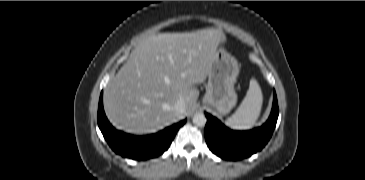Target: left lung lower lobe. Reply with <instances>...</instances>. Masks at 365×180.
<instances>
[{
  "instance_id": "obj_1",
  "label": "left lung lower lobe",
  "mask_w": 365,
  "mask_h": 180,
  "mask_svg": "<svg viewBox=\"0 0 365 180\" xmlns=\"http://www.w3.org/2000/svg\"><path fill=\"white\" fill-rule=\"evenodd\" d=\"M278 102L273 94V107L266 123L249 131H233L219 120L206 113L205 140L209 149L219 157L227 160H239L260 151L269 141L278 118Z\"/></svg>"
}]
</instances>
